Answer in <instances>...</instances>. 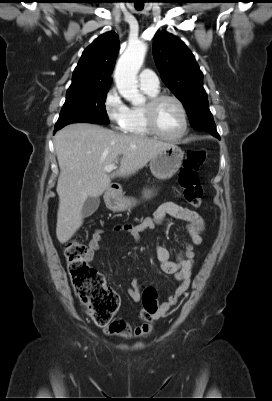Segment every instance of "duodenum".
Listing matches in <instances>:
<instances>
[{
  "instance_id": "duodenum-1",
  "label": "duodenum",
  "mask_w": 272,
  "mask_h": 401,
  "mask_svg": "<svg viewBox=\"0 0 272 401\" xmlns=\"http://www.w3.org/2000/svg\"><path fill=\"white\" fill-rule=\"evenodd\" d=\"M115 190H119V189L115 188ZM112 199H114L113 196L110 197V200H109V201L111 202Z\"/></svg>"
}]
</instances>
